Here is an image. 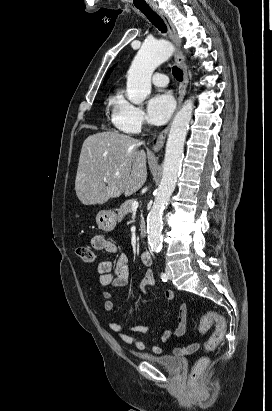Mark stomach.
<instances>
[{
    "mask_svg": "<svg viewBox=\"0 0 272 411\" xmlns=\"http://www.w3.org/2000/svg\"><path fill=\"white\" fill-rule=\"evenodd\" d=\"M118 221V217L114 211L102 210L96 215V223L99 229L110 232L112 231Z\"/></svg>",
    "mask_w": 272,
    "mask_h": 411,
    "instance_id": "stomach-1",
    "label": "stomach"
}]
</instances>
